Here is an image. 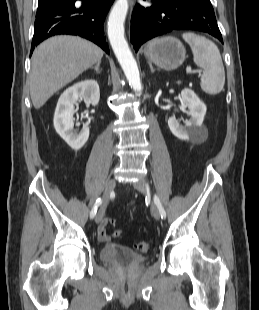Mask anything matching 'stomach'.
<instances>
[{
    "label": "stomach",
    "instance_id": "1",
    "mask_svg": "<svg viewBox=\"0 0 259 310\" xmlns=\"http://www.w3.org/2000/svg\"><path fill=\"white\" fill-rule=\"evenodd\" d=\"M149 62L165 70L178 68L186 57L184 45L174 37H163L151 41L144 50Z\"/></svg>",
    "mask_w": 259,
    "mask_h": 310
}]
</instances>
